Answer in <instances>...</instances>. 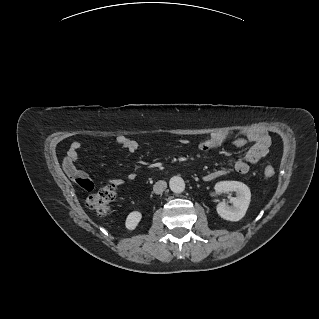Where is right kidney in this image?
<instances>
[{"instance_id":"1","label":"right kidney","mask_w":319,"mask_h":319,"mask_svg":"<svg viewBox=\"0 0 319 319\" xmlns=\"http://www.w3.org/2000/svg\"><path fill=\"white\" fill-rule=\"evenodd\" d=\"M142 218V214L139 211H132L129 213V215L126 218V228L128 230H134L138 223L140 222Z\"/></svg>"}]
</instances>
